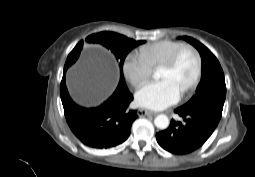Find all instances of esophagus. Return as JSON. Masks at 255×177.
Returning <instances> with one entry per match:
<instances>
[{"instance_id": "obj_1", "label": "esophagus", "mask_w": 255, "mask_h": 177, "mask_svg": "<svg viewBox=\"0 0 255 177\" xmlns=\"http://www.w3.org/2000/svg\"><path fill=\"white\" fill-rule=\"evenodd\" d=\"M154 114H156V113L153 112V111L147 110V109H143V108H140L137 111V115L140 116V117L154 115Z\"/></svg>"}]
</instances>
